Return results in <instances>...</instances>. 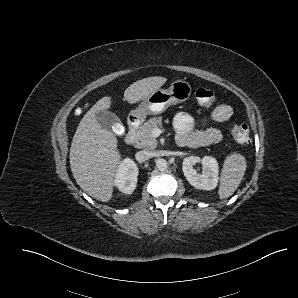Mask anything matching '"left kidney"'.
Masks as SVG:
<instances>
[{
  "label": "left kidney",
  "mask_w": 298,
  "mask_h": 298,
  "mask_svg": "<svg viewBox=\"0 0 298 298\" xmlns=\"http://www.w3.org/2000/svg\"><path fill=\"white\" fill-rule=\"evenodd\" d=\"M202 164V173H197L194 165ZM183 174L190 185L196 189L210 191L217 187L219 180V164L216 158L212 156L185 157L182 162Z\"/></svg>",
  "instance_id": "obj_1"
}]
</instances>
